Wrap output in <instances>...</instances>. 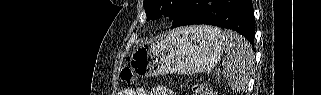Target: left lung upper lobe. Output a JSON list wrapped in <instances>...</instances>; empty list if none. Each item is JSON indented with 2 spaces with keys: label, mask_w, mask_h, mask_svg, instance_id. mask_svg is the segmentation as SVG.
Returning <instances> with one entry per match:
<instances>
[{
  "label": "left lung upper lobe",
  "mask_w": 321,
  "mask_h": 95,
  "mask_svg": "<svg viewBox=\"0 0 321 95\" xmlns=\"http://www.w3.org/2000/svg\"><path fill=\"white\" fill-rule=\"evenodd\" d=\"M186 0H144L143 5L147 16V21L155 20L161 14L169 19L178 12Z\"/></svg>",
  "instance_id": "1"
}]
</instances>
